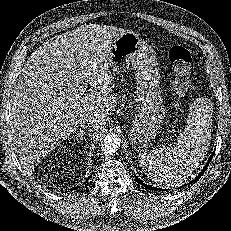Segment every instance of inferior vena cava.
Returning a JSON list of instances; mask_svg holds the SVG:
<instances>
[{"label":"inferior vena cava","mask_w":231,"mask_h":231,"mask_svg":"<svg viewBox=\"0 0 231 231\" xmlns=\"http://www.w3.org/2000/svg\"><path fill=\"white\" fill-rule=\"evenodd\" d=\"M96 124V119L92 116L85 115L80 119V126L82 128H90Z\"/></svg>","instance_id":"1"}]
</instances>
